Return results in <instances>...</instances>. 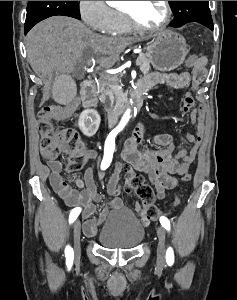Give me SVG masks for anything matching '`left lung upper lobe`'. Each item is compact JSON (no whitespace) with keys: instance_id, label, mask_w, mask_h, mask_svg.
<instances>
[{"instance_id":"1","label":"left lung upper lobe","mask_w":237,"mask_h":300,"mask_svg":"<svg viewBox=\"0 0 237 300\" xmlns=\"http://www.w3.org/2000/svg\"><path fill=\"white\" fill-rule=\"evenodd\" d=\"M174 14L172 27H181L189 22L200 23L209 29L213 21L209 9V1H169Z\"/></svg>"}]
</instances>
